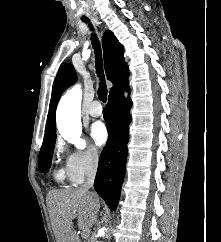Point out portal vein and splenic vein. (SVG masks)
<instances>
[{
    "label": "portal vein and splenic vein",
    "instance_id": "obj_1",
    "mask_svg": "<svg viewBox=\"0 0 221 242\" xmlns=\"http://www.w3.org/2000/svg\"><path fill=\"white\" fill-rule=\"evenodd\" d=\"M89 234H90V230H89V229H85V230L83 231V233H82L83 237H85V238L88 237Z\"/></svg>",
    "mask_w": 221,
    "mask_h": 242
}]
</instances>
